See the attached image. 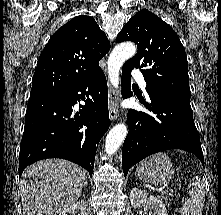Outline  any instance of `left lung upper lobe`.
I'll return each mask as SVG.
<instances>
[{
  "instance_id": "5c2ea615",
  "label": "left lung upper lobe",
  "mask_w": 221,
  "mask_h": 215,
  "mask_svg": "<svg viewBox=\"0 0 221 215\" xmlns=\"http://www.w3.org/2000/svg\"><path fill=\"white\" fill-rule=\"evenodd\" d=\"M133 41L137 54L123 68H140L147 93H158L190 102L188 62L175 31L147 10L134 15L117 36V42Z\"/></svg>"
}]
</instances>
